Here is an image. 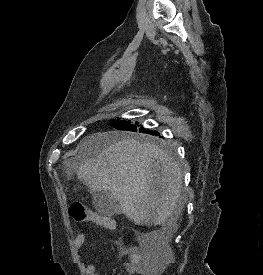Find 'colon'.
I'll return each mask as SVG.
<instances>
[{"label":"colon","instance_id":"1","mask_svg":"<svg viewBox=\"0 0 263 275\" xmlns=\"http://www.w3.org/2000/svg\"><path fill=\"white\" fill-rule=\"evenodd\" d=\"M70 216L77 222H92L101 224L103 227L113 230L115 229V223L104 220L101 216L86 209L80 203H74L69 209ZM166 253V250L160 246H152L148 251L149 260V275H154L160 264L163 262L162 257Z\"/></svg>","mask_w":263,"mask_h":275}]
</instances>
